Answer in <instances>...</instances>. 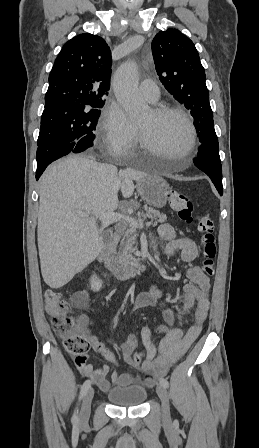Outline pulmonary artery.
Returning <instances> with one entry per match:
<instances>
[{
    "label": "pulmonary artery",
    "instance_id": "pulmonary-artery-1",
    "mask_svg": "<svg viewBox=\"0 0 259 448\" xmlns=\"http://www.w3.org/2000/svg\"><path fill=\"white\" fill-rule=\"evenodd\" d=\"M139 93L151 103H155L160 98V89L154 81H142L139 85Z\"/></svg>",
    "mask_w": 259,
    "mask_h": 448
}]
</instances>
